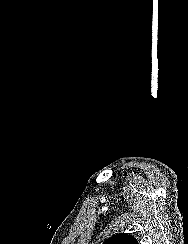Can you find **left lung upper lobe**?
Returning a JSON list of instances; mask_svg holds the SVG:
<instances>
[{
	"instance_id": "obj_1",
	"label": "left lung upper lobe",
	"mask_w": 188,
	"mask_h": 244,
	"mask_svg": "<svg viewBox=\"0 0 188 244\" xmlns=\"http://www.w3.org/2000/svg\"><path fill=\"white\" fill-rule=\"evenodd\" d=\"M103 244H138L136 238L127 233L116 234Z\"/></svg>"
}]
</instances>
